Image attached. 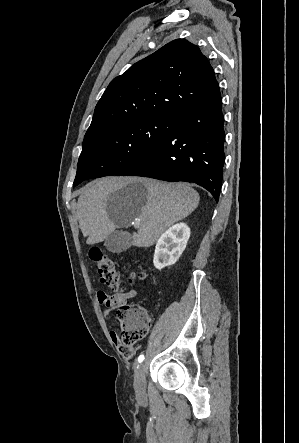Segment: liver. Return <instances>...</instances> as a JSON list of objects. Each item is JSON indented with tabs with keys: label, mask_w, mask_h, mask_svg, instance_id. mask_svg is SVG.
I'll use <instances>...</instances> for the list:
<instances>
[{
	"label": "liver",
	"mask_w": 299,
	"mask_h": 443,
	"mask_svg": "<svg viewBox=\"0 0 299 443\" xmlns=\"http://www.w3.org/2000/svg\"><path fill=\"white\" fill-rule=\"evenodd\" d=\"M189 185L140 177H105L88 183L77 202V218L86 243L104 241L116 228L140 220L131 244L150 247L174 223L199 205Z\"/></svg>",
	"instance_id": "1"
}]
</instances>
